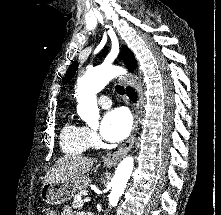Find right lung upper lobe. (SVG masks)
I'll return each instance as SVG.
<instances>
[{
    "label": "right lung upper lobe",
    "instance_id": "1",
    "mask_svg": "<svg viewBox=\"0 0 221 215\" xmlns=\"http://www.w3.org/2000/svg\"><path fill=\"white\" fill-rule=\"evenodd\" d=\"M122 59L127 64L128 69L133 71L136 66V60L133 53L126 46L122 49Z\"/></svg>",
    "mask_w": 221,
    "mask_h": 215
}]
</instances>
